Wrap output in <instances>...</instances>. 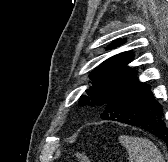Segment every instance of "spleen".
<instances>
[{
    "label": "spleen",
    "mask_w": 168,
    "mask_h": 162,
    "mask_svg": "<svg viewBox=\"0 0 168 162\" xmlns=\"http://www.w3.org/2000/svg\"><path fill=\"white\" fill-rule=\"evenodd\" d=\"M119 141L128 152L129 162H165L160 150L147 138L121 135Z\"/></svg>",
    "instance_id": "spleen-1"
}]
</instances>
